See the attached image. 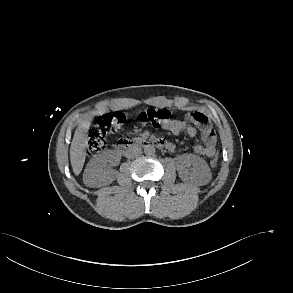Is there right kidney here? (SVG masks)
<instances>
[{"label": "right kidney", "mask_w": 293, "mask_h": 293, "mask_svg": "<svg viewBox=\"0 0 293 293\" xmlns=\"http://www.w3.org/2000/svg\"><path fill=\"white\" fill-rule=\"evenodd\" d=\"M107 156L105 154L95 155L88 163L84 175V184L89 187H101L112 183L117 172L107 166Z\"/></svg>", "instance_id": "ca27d5eb"}]
</instances>
